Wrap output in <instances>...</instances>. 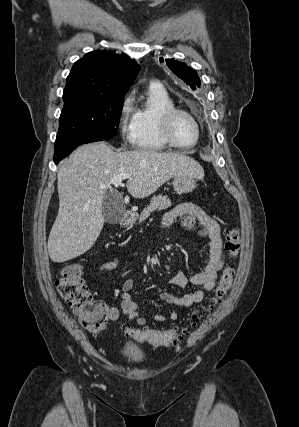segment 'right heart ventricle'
<instances>
[{"mask_svg":"<svg viewBox=\"0 0 299 427\" xmlns=\"http://www.w3.org/2000/svg\"><path fill=\"white\" fill-rule=\"evenodd\" d=\"M173 107L175 103L164 88L154 85L147 88L144 101L134 108L135 148L162 151L170 147L161 134L159 119L164 110Z\"/></svg>","mask_w":299,"mask_h":427,"instance_id":"right-heart-ventricle-1","label":"right heart ventricle"}]
</instances>
